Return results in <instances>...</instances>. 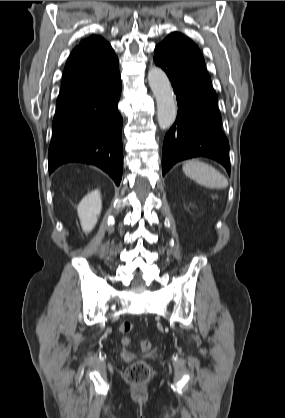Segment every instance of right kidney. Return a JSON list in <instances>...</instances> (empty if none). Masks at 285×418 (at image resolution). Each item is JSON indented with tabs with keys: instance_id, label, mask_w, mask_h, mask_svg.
<instances>
[{
	"instance_id": "1",
	"label": "right kidney",
	"mask_w": 285,
	"mask_h": 418,
	"mask_svg": "<svg viewBox=\"0 0 285 418\" xmlns=\"http://www.w3.org/2000/svg\"><path fill=\"white\" fill-rule=\"evenodd\" d=\"M101 209L102 201L99 190L92 191L81 200L77 212L85 233H89L95 227Z\"/></svg>"
}]
</instances>
